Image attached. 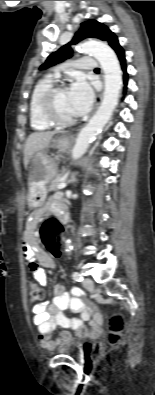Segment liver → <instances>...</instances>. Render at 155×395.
<instances>
[{"label":"liver","instance_id":"1","mask_svg":"<svg viewBox=\"0 0 155 395\" xmlns=\"http://www.w3.org/2000/svg\"><path fill=\"white\" fill-rule=\"evenodd\" d=\"M57 132H34L29 135L25 148H24V166L27 169L29 160L33 157L37 152L47 148L52 140V137Z\"/></svg>","mask_w":155,"mask_h":395}]
</instances>
